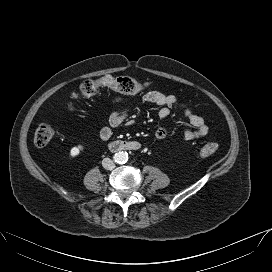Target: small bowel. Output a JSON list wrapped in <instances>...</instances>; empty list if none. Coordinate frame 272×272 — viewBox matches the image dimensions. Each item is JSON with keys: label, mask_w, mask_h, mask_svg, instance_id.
Here are the masks:
<instances>
[{"label": "small bowel", "mask_w": 272, "mask_h": 272, "mask_svg": "<svg viewBox=\"0 0 272 272\" xmlns=\"http://www.w3.org/2000/svg\"><path fill=\"white\" fill-rule=\"evenodd\" d=\"M143 101L158 105V117L160 119L168 118L174 109L179 110L189 121L190 127L184 130V138L187 140L199 139L206 136L209 127L203 117L193 113L192 109L185 101L174 95H167L158 91H148L143 95ZM114 103H119L116 99ZM134 121L129 117V112L125 109L113 110L108 118L107 124L102 127L100 137L104 141H108L113 133V129L122 124L131 125ZM166 128L161 125L155 130V138L163 140L166 137Z\"/></svg>", "instance_id": "1"}]
</instances>
